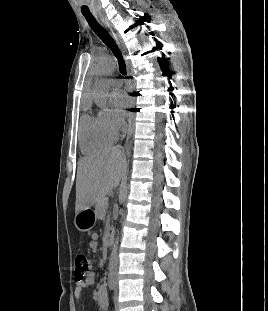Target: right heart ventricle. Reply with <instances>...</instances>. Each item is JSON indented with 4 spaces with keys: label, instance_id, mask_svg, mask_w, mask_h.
<instances>
[{
    "label": "right heart ventricle",
    "instance_id": "right-heart-ventricle-1",
    "mask_svg": "<svg viewBox=\"0 0 268 311\" xmlns=\"http://www.w3.org/2000/svg\"><path fill=\"white\" fill-rule=\"evenodd\" d=\"M117 138L100 113H85L79 126V144L86 154H93L111 146Z\"/></svg>",
    "mask_w": 268,
    "mask_h": 311
}]
</instances>
